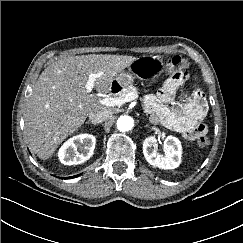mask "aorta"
Listing matches in <instances>:
<instances>
[{
    "instance_id": "1",
    "label": "aorta",
    "mask_w": 243,
    "mask_h": 243,
    "mask_svg": "<svg viewBox=\"0 0 243 243\" xmlns=\"http://www.w3.org/2000/svg\"><path fill=\"white\" fill-rule=\"evenodd\" d=\"M117 129L121 132H127L133 128L134 120L130 116H120L117 120Z\"/></svg>"
}]
</instances>
